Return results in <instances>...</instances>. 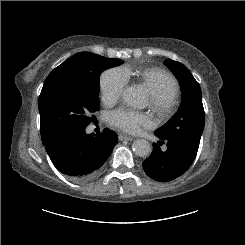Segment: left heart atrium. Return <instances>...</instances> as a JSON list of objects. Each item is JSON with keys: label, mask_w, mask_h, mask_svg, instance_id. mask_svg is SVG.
Masks as SVG:
<instances>
[{"label": "left heart atrium", "mask_w": 245, "mask_h": 245, "mask_svg": "<svg viewBox=\"0 0 245 245\" xmlns=\"http://www.w3.org/2000/svg\"><path fill=\"white\" fill-rule=\"evenodd\" d=\"M108 121L114 128L130 134H137L143 127L151 125V120L146 114L128 108L113 111Z\"/></svg>", "instance_id": "1"}]
</instances>
